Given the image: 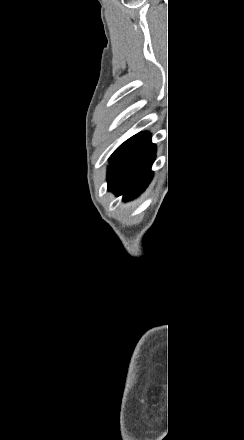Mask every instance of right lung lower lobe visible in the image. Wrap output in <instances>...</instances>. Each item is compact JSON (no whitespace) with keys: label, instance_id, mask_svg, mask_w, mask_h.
<instances>
[{"label":"right lung lower lobe","instance_id":"98d812e1","mask_svg":"<svg viewBox=\"0 0 244 440\" xmlns=\"http://www.w3.org/2000/svg\"><path fill=\"white\" fill-rule=\"evenodd\" d=\"M156 146L151 135L141 132L124 142L111 156L107 173L108 190L125 201L137 197L150 183Z\"/></svg>","mask_w":244,"mask_h":440}]
</instances>
